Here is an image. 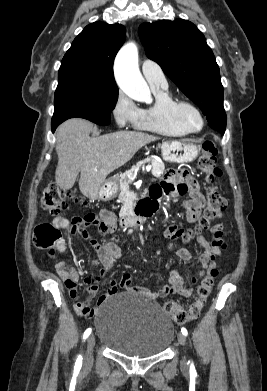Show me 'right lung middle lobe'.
<instances>
[{
	"instance_id": "right-lung-middle-lobe-1",
	"label": "right lung middle lobe",
	"mask_w": 267,
	"mask_h": 391,
	"mask_svg": "<svg viewBox=\"0 0 267 391\" xmlns=\"http://www.w3.org/2000/svg\"><path fill=\"white\" fill-rule=\"evenodd\" d=\"M58 80L52 124L81 117L98 125H109L118 98L115 81L89 74L70 75Z\"/></svg>"
}]
</instances>
